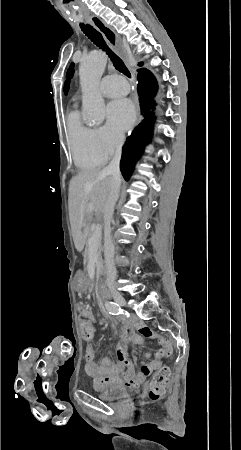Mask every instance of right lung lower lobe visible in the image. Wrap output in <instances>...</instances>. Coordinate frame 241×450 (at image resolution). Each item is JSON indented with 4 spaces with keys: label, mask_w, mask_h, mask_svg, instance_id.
Returning <instances> with one entry per match:
<instances>
[{
    "label": "right lung lower lobe",
    "mask_w": 241,
    "mask_h": 450,
    "mask_svg": "<svg viewBox=\"0 0 241 450\" xmlns=\"http://www.w3.org/2000/svg\"><path fill=\"white\" fill-rule=\"evenodd\" d=\"M139 65L142 66L143 63H139ZM138 72L137 89L140 96L141 113L143 114L144 119L133 130L123 146L120 170L125 180H129L145 145L151 139L155 117L149 110L154 109L157 105L154 99L158 90L155 77L145 68L139 69Z\"/></svg>",
    "instance_id": "obj_1"
}]
</instances>
